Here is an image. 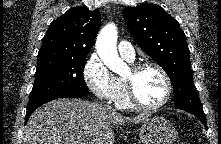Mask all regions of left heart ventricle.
Returning a JSON list of instances; mask_svg holds the SVG:
<instances>
[{
    "mask_svg": "<svg viewBox=\"0 0 221 144\" xmlns=\"http://www.w3.org/2000/svg\"><path fill=\"white\" fill-rule=\"evenodd\" d=\"M126 77H131V71ZM136 94L141 102L154 105L162 101L166 92L165 81L160 72L154 68L143 70L134 79Z\"/></svg>",
    "mask_w": 221,
    "mask_h": 144,
    "instance_id": "obj_1",
    "label": "left heart ventricle"
}]
</instances>
